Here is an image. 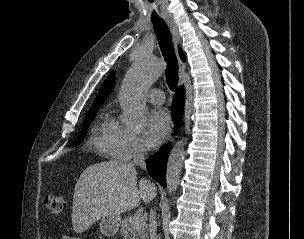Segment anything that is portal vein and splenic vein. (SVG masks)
<instances>
[{
    "mask_svg": "<svg viewBox=\"0 0 304 239\" xmlns=\"http://www.w3.org/2000/svg\"><path fill=\"white\" fill-rule=\"evenodd\" d=\"M140 215H141V213H138V214H137V216H140Z\"/></svg>",
    "mask_w": 304,
    "mask_h": 239,
    "instance_id": "obj_1",
    "label": "portal vein and splenic vein"
}]
</instances>
